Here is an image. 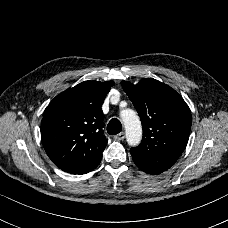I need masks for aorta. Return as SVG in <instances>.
<instances>
[{"mask_svg": "<svg viewBox=\"0 0 228 228\" xmlns=\"http://www.w3.org/2000/svg\"><path fill=\"white\" fill-rule=\"evenodd\" d=\"M127 134V142L131 146H136L142 139V126L137 113L132 109H124L120 112Z\"/></svg>", "mask_w": 228, "mask_h": 228, "instance_id": "762f6f07", "label": "aorta"}]
</instances>
